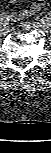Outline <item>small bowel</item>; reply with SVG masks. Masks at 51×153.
<instances>
[{"mask_svg": "<svg viewBox=\"0 0 51 153\" xmlns=\"http://www.w3.org/2000/svg\"><path fill=\"white\" fill-rule=\"evenodd\" d=\"M44 5H45L44 0H36L28 7L24 8L18 12L11 13L8 18L13 22L23 20V19H25L29 16H32V15L36 14L37 12L41 11L43 9Z\"/></svg>", "mask_w": 51, "mask_h": 153, "instance_id": "small-bowel-1", "label": "small bowel"}]
</instances>
